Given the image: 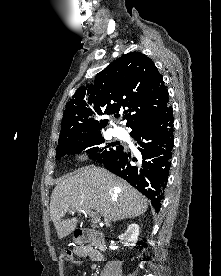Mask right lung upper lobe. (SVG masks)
Instances as JSON below:
<instances>
[{
	"label": "right lung upper lobe",
	"mask_w": 221,
	"mask_h": 276,
	"mask_svg": "<svg viewBox=\"0 0 221 276\" xmlns=\"http://www.w3.org/2000/svg\"><path fill=\"white\" fill-rule=\"evenodd\" d=\"M88 87V89H87ZM80 87L67 103L61 124L59 142L99 132L108 120H94L89 103L97 114H115L121 108L127 127L133 128L161 115L169 106L168 90L163 77L150 58L131 52L110 63L95 77L94 84Z\"/></svg>",
	"instance_id": "obj_1"
}]
</instances>
